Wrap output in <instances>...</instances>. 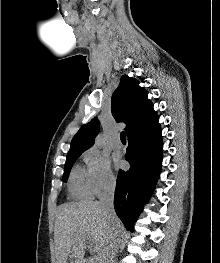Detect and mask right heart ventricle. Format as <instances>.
<instances>
[{
    "instance_id": "e07e8e85",
    "label": "right heart ventricle",
    "mask_w": 220,
    "mask_h": 263,
    "mask_svg": "<svg viewBox=\"0 0 220 263\" xmlns=\"http://www.w3.org/2000/svg\"><path fill=\"white\" fill-rule=\"evenodd\" d=\"M68 188L72 198L77 200H89L94 195L88 172L80 165L73 168L69 177Z\"/></svg>"
}]
</instances>
